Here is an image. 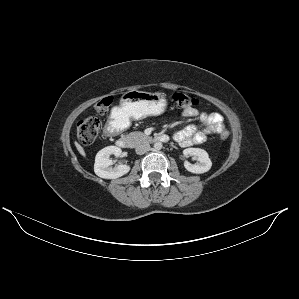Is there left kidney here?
<instances>
[{"label":"left kidney","instance_id":"1","mask_svg":"<svg viewBox=\"0 0 299 299\" xmlns=\"http://www.w3.org/2000/svg\"><path fill=\"white\" fill-rule=\"evenodd\" d=\"M185 157L196 156L199 163L191 164L188 161L184 162L185 168L192 173L202 174L211 169L212 162L208 153L201 148H187L183 151Z\"/></svg>","mask_w":299,"mask_h":299}]
</instances>
